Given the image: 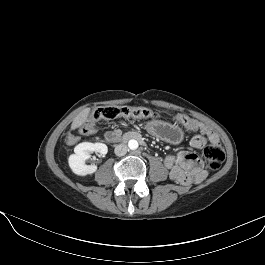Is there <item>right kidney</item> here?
<instances>
[{
	"mask_svg": "<svg viewBox=\"0 0 265 265\" xmlns=\"http://www.w3.org/2000/svg\"><path fill=\"white\" fill-rule=\"evenodd\" d=\"M99 153L105 155L108 148L103 143L83 142L78 144L74 149V154L70 155L68 159L69 167L72 172L78 176H86L97 171L96 165H87L85 163L91 157V153Z\"/></svg>",
	"mask_w": 265,
	"mask_h": 265,
	"instance_id": "1",
	"label": "right kidney"
}]
</instances>
